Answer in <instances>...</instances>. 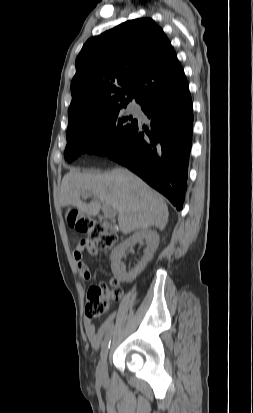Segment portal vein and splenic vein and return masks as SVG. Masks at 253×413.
<instances>
[{"mask_svg": "<svg viewBox=\"0 0 253 413\" xmlns=\"http://www.w3.org/2000/svg\"><path fill=\"white\" fill-rule=\"evenodd\" d=\"M89 196H91V193H84L83 194L84 198L89 197ZM102 211H103L105 217L113 218L115 216V211L106 204H104L102 206Z\"/></svg>", "mask_w": 253, "mask_h": 413, "instance_id": "18ae733b", "label": "portal vein and splenic vein"}]
</instances>
